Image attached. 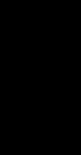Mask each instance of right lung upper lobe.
<instances>
[{
	"instance_id": "obj_1",
	"label": "right lung upper lobe",
	"mask_w": 81,
	"mask_h": 155,
	"mask_svg": "<svg viewBox=\"0 0 81 155\" xmlns=\"http://www.w3.org/2000/svg\"><path fill=\"white\" fill-rule=\"evenodd\" d=\"M37 49L33 44L13 41L0 48V116L6 123L26 111L36 98L27 66Z\"/></svg>"
}]
</instances>
